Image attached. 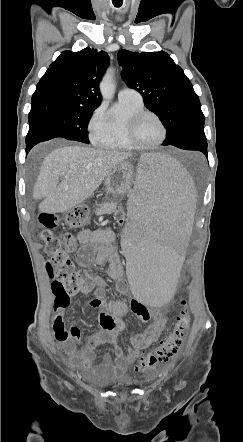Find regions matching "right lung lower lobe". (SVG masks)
<instances>
[{
	"label": "right lung lower lobe",
	"instance_id": "obj_1",
	"mask_svg": "<svg viewBox=\"0 0 243 442\" xmlns=\"http://www.w3.org/2000/svg\"><path fill=\"white\" fill-rule=\"evenodd\" d=\"M56 137L65 138L66 135L56 129L44 126V125H33L29 126V131L26 136V153L39 142L47 141Z\"/></svg>",
	"mask_w": 243,
	"mask_h": 442
}]
</instances>
